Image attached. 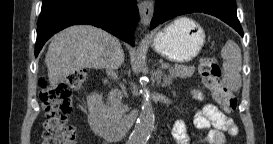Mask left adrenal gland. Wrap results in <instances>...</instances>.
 Wrapping results in <instances>:
<instances>
[{
    "mask_svg": "<svg viewBox=\"0 0 273 144\" xmlns=\"http://www.w3.org/2000/svg\"><path fill=\"white\" fill-rule=\"evenodd\" d=\"M155 77L158 84H161V87H169L172 84V77L163 75V72L160 68H157L155 72Z\"/></svg>",
    "mask_w": 273,
    "mask_h": 144,
    "instance_id": "a2214340",
    "label": "left adrenal gland"
}]
</instances>
